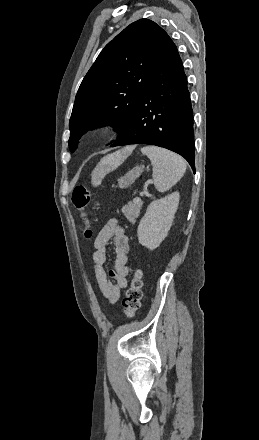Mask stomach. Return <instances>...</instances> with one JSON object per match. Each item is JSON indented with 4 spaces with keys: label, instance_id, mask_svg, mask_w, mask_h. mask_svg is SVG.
Masks as SVG:
<instances>
[{
    "label": "stomach",
    "instance_id": "stomach-1",
    "mask_svg": "<svg viewBox=\"0 0 259 440\" xmlns=\"http://www.w3.org/2000/svg\"><path fill=\"white\" fill-rule=\"evenodd\" d=\"M144 166H137L128 171L124 176H122L118 180V184L121 188H127L131 186L134 181L141 175L143 172Z\"/></svg>",
    "mask_w": 259,
    "mask_h": 440
}]
</instances>
